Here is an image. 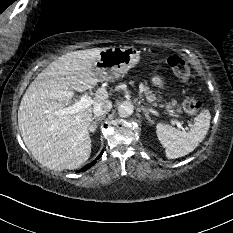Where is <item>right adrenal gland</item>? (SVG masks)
<instances>
[{
    "label": "right adrenal gland",
    "instance_id": "obj_1",
    "mask_svg": "<svg viewBox=\"0 0 233 233\" xmlns=\"http://www.w3.org/2000/svg\"><path fill=\"white\" fill-rule=\"evenodd\" d=\"M104 115L103 116H99V117H93L92 121H91V124L89 126V130L90 132H94L98 126V123H100V121L102 119H104Z\"/></svg>",
    "mask_w": 233,
    "mask_h": 233
}]
</instances>
